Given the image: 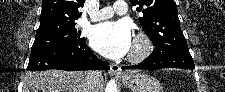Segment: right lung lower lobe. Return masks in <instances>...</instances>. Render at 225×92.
Returning a JSON list of instances; mask_svg holds the SVG:
<instances>
[{
    "mask_svg": "<svg viewBox=\"0 0 225 92\" xmlns=\"http://www.w3.org/2000/svg\"><path fill=\"white\" fill-rule=\"evenodd\" d=\"M109 64L98 59L86 45L79 43L32 50L28 70H108Z\"/></svg>",
    "mask_w": 225,
    "mask_h": 92,
    "instance_id": "98d812e1",
    "label": "right lung lower lobe"
}]
</instances>
